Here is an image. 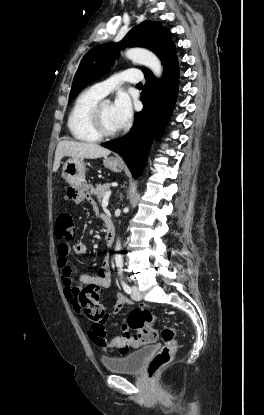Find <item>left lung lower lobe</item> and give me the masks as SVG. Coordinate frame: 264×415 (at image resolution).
Returning a JSON list of instances; mask_svg holds the SVG:
<instances>
[{
  "label": "left lung lower lobe",
  "instance_id": "1",
  "mask_svg": "<svg viewBox=\"0 0 264 415\" xmlns=\"http://www.w3.org/2000/svg\"><path fill=\"white\" fill-rule=\"evenodd\" d=\"M145 78L141 96L144 108L135 113L131 130L119 139L102 144L123 157L135 178L143 167L155 114L158 113L157 129L161 134L174 108L179 79L177 57L164 66L161 80L158 81L152 73L145 75Z\"/></svg>",
  "mask_w": 264,
  "mask_h": 415
}]
</instances>
